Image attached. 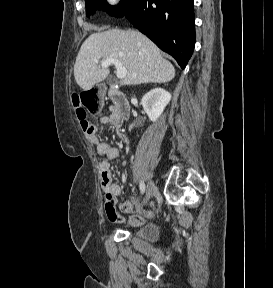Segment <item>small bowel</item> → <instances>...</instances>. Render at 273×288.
<instances>
[{
  "mask_svg": "<svg viewBox=\"0 0 273 288\" xmlns=\"http://www.w3.org/2000/svg\"><path fill=\"white\" fill-rule=\"evenodd\" d=\"M101 125L113 126L119 131L122 121L118 119L113 108L109 109L108 113L103 116L98 124H92L88 129L84 130L85 136L90 142L96 145L97 152L103 157L100 162V181L101 188L104 193V208L109 221L113 223H123L124 218L119 214L117 207L125 213H130L136 207L135 199L124 201L117 205V197L121 194V186L113 181L110 169V161L118 158L121 155V150L113 147L106 142H99L96 133ZM120 137L125 140V136L119 132ZM153 212H139L129 219L132 225H138L143 221L144 216H150Z\"/></svg>",
  "mask_w": 273,
  "mask_h": 288,
  "instance_id": "obj_1",
  "label": "small bowel"
}]
</instances>
